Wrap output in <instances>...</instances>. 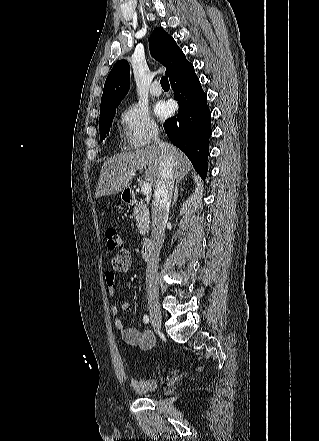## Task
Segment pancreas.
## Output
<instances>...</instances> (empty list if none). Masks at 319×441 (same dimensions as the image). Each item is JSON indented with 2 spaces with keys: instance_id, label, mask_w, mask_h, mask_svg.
I'll return each mask as SVG.
<instances>
[{
  "instance_id": "1",
  "label": "pancreas",
  "mask_w": 319,
  "mask_h": 441,
  "mask_svg": "<svg viewBox=\"0 0 319 441\" xmlns=\"http://www.w3.org/2000/svg\"><path fill=\"white\" fill-rule=\"evenodd\" d=\"M133 215L137 222L140 234L145 237L148 233L150 224L147 205L143 201L137 202L133 210Z\"/></svg>"
}]
</instances>
